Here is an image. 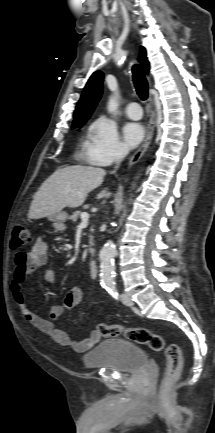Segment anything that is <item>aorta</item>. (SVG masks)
<instances>
[{
    "label": "aorta",
    "mask_w": 215,
    "mask_h": 433,
    "mask_svg": "<svg viewBox=\"0 0 215 433\" xmlns=\"http://www.w3.org/2000/svg\"><path fill=\"white\" fill-rule=\"evenodd\" d=\"M118 101L115 96L109 98L107 110L110 114H114L118 110ZM116 256V246L112 240H108L102 247L99 258L101 262L100 278L101 284L105 287H114L115 265L114 258Z\"/></svg>",
    "instance_id": "aorta-1"
}]
</instances>
